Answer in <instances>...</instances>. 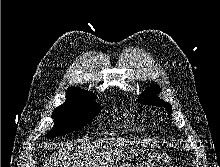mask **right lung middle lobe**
Masks as SVG:
<instances>
[{"label":"right lung middle lobe","instance_id":"dd1d6c3e","mask_svg":"<svg viewBox=\"0 0 220 167\" xmlns=\"http://www.w3.org/2000/svg\"><path fill=\"white\" fill-rule=\"evenodd\" d=\"M100 111V106L93 100L66 102L53 111L54 127L46 137L54 138L82 129L91 123Z\"/></svg>","mask_w":220,"mask_h":167}]
</instances>
